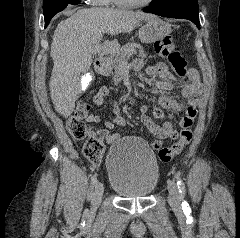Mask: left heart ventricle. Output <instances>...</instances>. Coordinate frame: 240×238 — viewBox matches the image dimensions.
Returning a JSON list of instances; mask_svg holds the SVG:
<instances>
[{
  "instance_id": "1",
  "label": "left heart ventricle",
  "mask_w": 240,
  "mask_h": 238,
  "mask_svg": "<svg viewBox=\"0 0 240 238\" xmlns=\"http://www.w3.org/2000/svg\"><path fill=\"white\" fill-rule=\"evenodd\" d=\"M125 1H128V2H144L145 0H125Z\"/></svg>"
}]
</instances>
